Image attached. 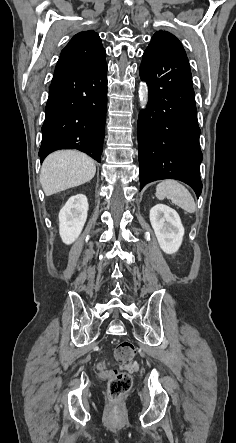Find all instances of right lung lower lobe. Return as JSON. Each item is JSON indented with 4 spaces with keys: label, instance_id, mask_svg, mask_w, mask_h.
Segmentation results:
<instances>
[{
    "label": "right lung lower lobe",
    "instance_id": "obj_1",
    "mask_svg": "<svg viewBox=\"0 0 236 443\" xmlns=\"http://www.w3.org/2000/svg\"><path fill=\"white\" fill-rule=\"evenodd\" d=\"M106 108V63L91 69L56 67L42 126L41 162L59 149H77L100 162Z\"/></svg>",
    "mask_w": 236,
    "mask_h": 443
}]
</instances>
